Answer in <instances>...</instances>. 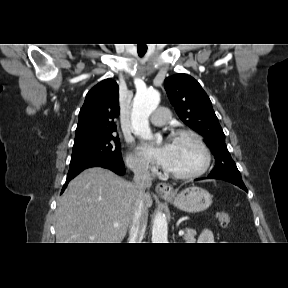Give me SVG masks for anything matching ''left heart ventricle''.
Here are the masks:
<instances>
[{
    "label": "left heart ventricle",
    "instance_id": "left-heart-ventricle-1",
    "mask_svg": "<svg viewBox=\"0 0 288 288\" xmlns=\"http://www.w3.org/2000/svg\"><path fill=\"white\" fill-rule=\"evenodd\" d=\"M171 153L165 168L175 172H190L203 163L199 147L189 138L172 139Z\"/></svg>",
    "mask_w": 288,
    "mask_h": 288
}]
</instances>
